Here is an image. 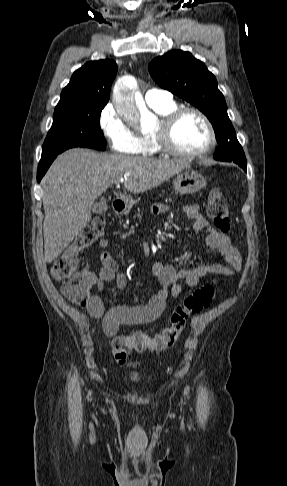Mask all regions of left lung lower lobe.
I'll use <instances>...</instances> for the list:
<instances>
[{
  "label": "left lung lower lobe",
  "mask_w": 287,
  "mask_h": 486,
  "mask_svg": "<svg viewBox=\"0 0 287 486\" xmlns=\"http://www.w3.org/2000/svg\"><path fill=\"white\" fill-rule=\"evenodd\" d=\"M237 164L239 166H241L245 171H247V163H246V161H244V162H238Z\"/></svg>",
  "instance_id": "1"
}]
</instances>
